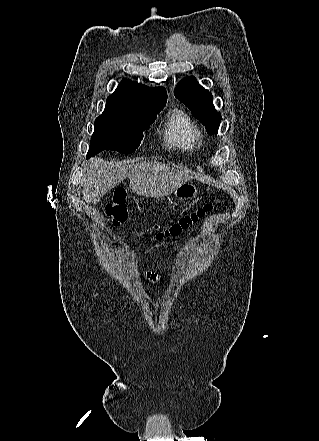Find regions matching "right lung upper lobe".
Segmentation results:
<instances>
[{"label": "right lung upper lobe", "instance_id": "cb5924a9", "mask_svg": "<svg viewBox=\"0 0 319 441\" xmlns=\"http://www.w3.org/2000/svg\"><path fill=\"white\" fill-rule=\"evenodd\" d=\"M166 101L165 88H149L123 79L114 93L107 97L105 110L156 108L166 105Z\"/></svg>", "mask_w": 319, "mask_h": 441}]
</instances>
